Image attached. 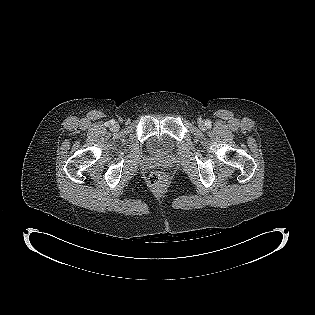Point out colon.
<instances>
[{
    "instance_id": "colon-1",
    "label": "colon",
    "mask_w": 315,
    "mask_h": 315,
    "mask_svg": "<svg viewBox=\"0 0 315 315\" xmlns=\"http://www.w3.org/2000/svg\"><path fill=\"white\" fill-rule=\"evenodd\" d=\"M170 181V175L164 170L153 171L149 176V183L155 188L166 186Z\"/></svg>"
}]
</instances>
